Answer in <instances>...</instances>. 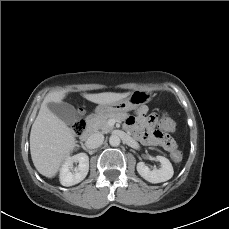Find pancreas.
<instances>
[{"mask_svg":"<svg viewBox=\"0 0 229 229\" xmlns=\"http://www.w3.org/2000/svg\"><path fill=\"white\" fill-rule=\"evenodd\" d=\"M125 117V113L100 116L93 122L92 126L95 131L101 130L103 133H108L113 129V126L109 124L110 120L122 121Z\"/></svg>","mask_w":229,"mask_h":229,"instance_id":"pancreas-1","label":"pancreas"}]
</instances>
